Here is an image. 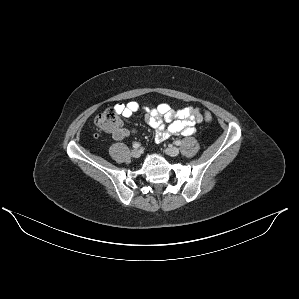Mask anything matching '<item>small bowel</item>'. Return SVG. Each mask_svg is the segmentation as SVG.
<instances>
[{"mask_svg": "<svg viewBox=\"0 0 299 299\" xmlns=\"http://www.w3.org/2000/svg\"><path fill=\"white\" fill-rule=\"evenodd\" d=\"M114 108L124 117H131L134 113L143 109L147 123L155 131L157 142H163L174 135L189 136L195 132V124L202 120L200 111L193 107H185L174 110L167 103H161L156 107H141L139 103L130 101L116 103ZM135 133L133 129L122 128L113 133L115 140H122Z\"/></svg>", "mask_w": 299, "mask_h": 299, "instance_id": "1", "label": "small bowel"}]
</instances>
